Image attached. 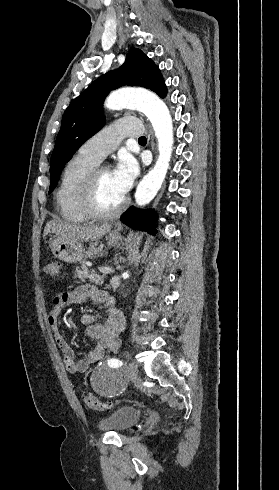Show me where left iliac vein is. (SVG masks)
I'll list each match as a JSON object with an SVG mask.
<instances>
[{
	"instance_id": "4c4485c4",
	"label": "left iliac vein",
	"mask_w": 279,
	"mask_h": 490,
	"mask_svg": "<svg viewBox=\"0 0 279 490\" xmlns=\"http://www.w3.org/2000/svg\"><path fill=\"white\" fill-rule=\"evenodd\" d=\"M125 368L127 369L129 376L134 379L138 373L137 364L131 360L128 365H125Z\"/></svg>"
}]
</instances>
